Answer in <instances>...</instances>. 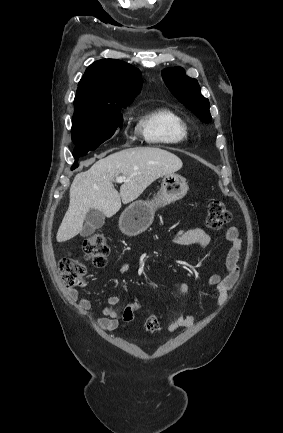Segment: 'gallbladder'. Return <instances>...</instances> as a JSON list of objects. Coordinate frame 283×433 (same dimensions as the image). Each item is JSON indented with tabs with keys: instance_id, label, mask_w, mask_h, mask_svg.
Listing matches in <instances>:
<instances>
[{
	"instance_id": "1",
	"label": "gallbladder",
	"mask_w": 283,
	"mask_h": 433,
	"mask_svg": "<svg viewBox=\"0 0 283 433\" xmlns=\"http://www.w3.org/2000/svg\"><path fill=\"white\" fill-rule=\"evenodd\" d=\"M105 223V214L98 210V208H89L86 217L85 225L80 233L81 237H88L93 235L96 229H101Z\"/></svg>"
}]
</instances>
